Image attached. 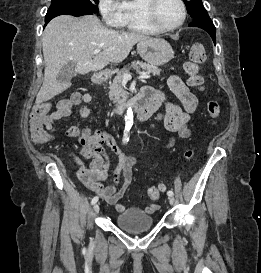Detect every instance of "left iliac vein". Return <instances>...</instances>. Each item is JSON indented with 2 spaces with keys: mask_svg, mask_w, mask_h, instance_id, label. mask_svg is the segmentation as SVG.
<instances>
[{
  "mask_svg": "<svg viewBox=\"0 0 261 273\" xmlns=\"http://www.w3.org/2000/svg\"><path fill=\"white\" fill-rule=\"evenodd\" d=\"M174 202H175L174 197H173V196H169V203H170L171 205H173Z\"/></svg>",
  "mask_w": 261,
  "mask_h": 273,
  "instance_id": "4c4485c4",
  "label": "left iliac vein"
}]
</instances>
